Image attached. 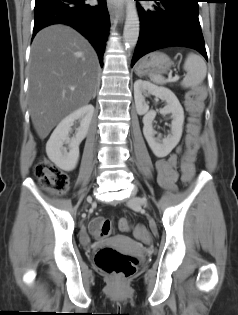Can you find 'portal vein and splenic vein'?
<instances>
[{
	"label": "portal vein and splenic vein",
	"mask_w": 238,
	"mask_h": 315,
	"mask_svg": "<svg viewBox=\"0 0 238 315\" xmlns=\"http://www.w3.org/2000/svg\"><path fill=\"white\" fill-rule=\"evenodd\" d=\"M179 76L178 75H175L174 77H172L171 75L168 76V81H177L179 80ZM72 91L75 89V88H70Z\"/></svg>",
	"instance_id": "obj_1"
}]
</instances>
